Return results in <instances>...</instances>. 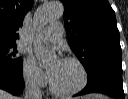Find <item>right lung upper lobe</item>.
<instances>
[{
	"label": "right lung upper lobe",
	"mask_w": 128,
	"mask_h": 99,
	"mask_svg": "<svg viewBox=\"0 0 128 99\" xmlns=\"http://www.w3.org/2000/svg\"><path fill=\"white\" fill-rule=\"evenodd\" d=\"M32 5L33 0H0V44H16V31Z\"/></svg>",
	"instance_id": "1"
}]
</instances>
